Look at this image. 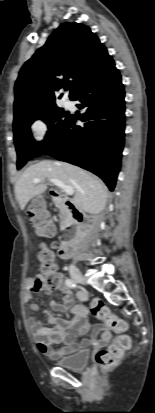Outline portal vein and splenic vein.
<instances>
[{
	"mask_svg": "<svg viewBox=\"0 0 155 413\" xmlns=\"http://www.w3.org/2000/svg\"><path fill=\"white\" fill-rule=\"evenodd\" d=\"M43 179L41 178H36L32 181V183L37 184L40 181H42ZM51 183L55 184L56 186H58L64 193L68 194V195H73L74 194V190L70 185H66L63 182H61L58 179L55 178H49L48 179Z\"/></svg>",
	"mask_w": 155,
	"mask_h": 413,
	"instance_id": "obj_1",
	"label": "portal vein and splenic vein"
}]
</instances>
